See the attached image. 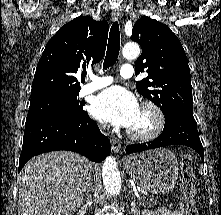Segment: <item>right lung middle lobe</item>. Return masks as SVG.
<instances>
[{"label":"right lung middle lobe","instance_id":"obj_1","mask_svg":"<svg viewBox=\"0 0 221 215\" xmlns=\"http://www.w3.org/2000/svg\"><path fill=\"white\" fill-rule=\"evenodd\" d=\"M78 92L67 94H55L30 102L27 120L45 117L59 116L76 119L86 114L82 102L77 98Z\"/></svg>","mask_w":221,"mask_h":215}]
</instances>
